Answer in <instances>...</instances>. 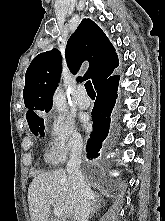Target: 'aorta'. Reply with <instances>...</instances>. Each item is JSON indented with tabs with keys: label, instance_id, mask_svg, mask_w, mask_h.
I'll return each mask as SVG.
<instances>
[{
	"label": "aorta",
	"instance_id": "1",
	"mask_svg": "<svg viewBox=\"0 0 165 221\" xmlns=\"http://www.w3.org/2000/svg\"><path fill=\"white\" fill-rule=\"evenodd\" d=\"M53 105L58 112H64L66 110L65 96L61 89L55 92L53 97Z\"/></svg>",
	"mask_w": 165,
	"mask_h": 221
}]
</instances>
